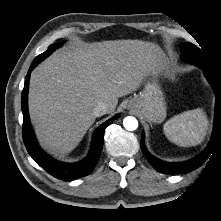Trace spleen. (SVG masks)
Instances as JSON below:
<instances>
[{
    "mask_svg": "<svg viewBox=\"0 0 221 221\" xmlns=\"http://www.w3.org/2000/svg\"><path fill=\"white\" fill-rule=\"evenodd\" d=\"M208 120L202 109L185 111L170 118L163 127L167 139L178 146L200 144L206 135Z\"/></svg>",
    "mask_w": 221,
    "mask_h": 221,
    "instance_id": "3e777b00",
    "label": "spleen"
}]
</instances>
